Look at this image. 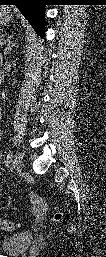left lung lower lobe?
Here are the masks:
<instances>
[{
  "label": "left lung lower lobe",
  "instance_id": "1",
  "mask_svg": "<svg viewBox=\"0 0 106 257\" xmlns=\"http://www.w3.org/2000/svg\"><path fill=\"white\" fill-rule=\"evenodd\" d=\"M42 2V0H0L1 4L16 5L40 36L44 35L45 5Z\"/></svg>",
  "mask_w": 106,
  "mask_h": 257
}]
</instances>
